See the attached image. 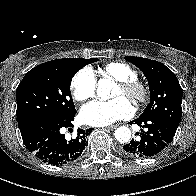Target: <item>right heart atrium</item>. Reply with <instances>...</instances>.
<instances>
[{
  "label": "right heart atrium",
  "instance_id": "1",
  "mask_svg": "<svg viewBox=\"0 0 196 196\" xmlns=\"http://www.w3.org/2000/svg\"><path fill=\"white\" fill-rule=\"evenodd\" d=\"M97 80L94 72L85 67L79 70L71 81L72 95L77 101H86L95 95Z\"/></svg>",
  "mask_w": 196,
  "mask_h": 196
}]
</instances>
